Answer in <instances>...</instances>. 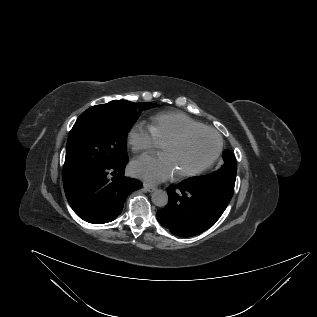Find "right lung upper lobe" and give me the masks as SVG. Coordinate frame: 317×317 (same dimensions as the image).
<instances>
[{
  "instance_id": "right-lung-upper-lobe-1",
  "label": "right lung upper lobe",
  "mask_w": 317,
  "mask_h": 317,
  "mask_svg": "<svg viewBox=\"0 0 317 317\" xmlns=\"http://www.w3.org/2000/svg\"><path fill=\"white\" fill-rule=\"evenodd\" d=\"M67 177H69V175L67 174V172H65V171L63 170V179H64V178H67Z\"/></svg>"
}]
</instances>
